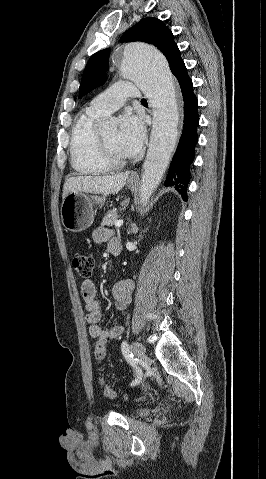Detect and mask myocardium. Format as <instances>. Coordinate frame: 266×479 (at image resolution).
Here are the masks:
<instances>
[{"label": "myocardium", "mask_w": 266, "mask_h": 479, "mask_svg": "<svg viewBox=\"0 0 266 479\" xmlns=\"http://www.w3.org/2000/svg\"><path fill=\"white\" fill-rule=\"evenodd\" d=\"M98 144L100 149V154L103 160L111 167V168H120L127 164L128 160L126 158H121L116 156L113 151L110 149L108 144L106 143L105 139L102 137L101 134H98Z\"/></svg>", "instance_id": "obj_1"}]
</instances>
